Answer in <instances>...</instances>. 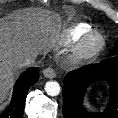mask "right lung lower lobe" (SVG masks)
Instances as JSON below:
<instances>
[{
  "label": "right lung lower lobe",
  "instance_id": "1",
  "mask_svg": "<svg viewBox=\"0 0 118 118\" xmlns=\"http://www.w3.org/2000/svg\"><path fill=\"white\" fill-rule=\"evenodd\" d=\"M38 78V68H31L19 77L14 86L12 101L0 118H22L27 92L30 86L38 81Z\"/></svg>",
  "mask_w": 118,
  "mask_h": 118
}]
</instances>
